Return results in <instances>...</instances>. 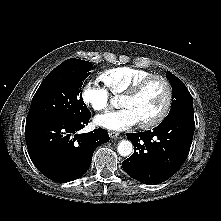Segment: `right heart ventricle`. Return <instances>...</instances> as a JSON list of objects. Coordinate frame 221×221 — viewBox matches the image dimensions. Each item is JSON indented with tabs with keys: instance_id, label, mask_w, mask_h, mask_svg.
Listing matches in <instances>:
<instances>
[{
	"instance_id": "obj_1",
	"label": "right heart ventricle",
	"mask_w": 221,
	"mask_h": 221,
	"mask_svg": "<svg viewBox=\"0 0 221 221\" xmlns=\"http://www.w3.org/2000/svg\"><path fill=\"white\" fill-rule=\"evenodd\" d=\"M150 74V72L143 69L122 66L103 71L100 73L99 79L112 95L120 96L128 91L138 80Z\"/></svg>"
}]
</instances>
